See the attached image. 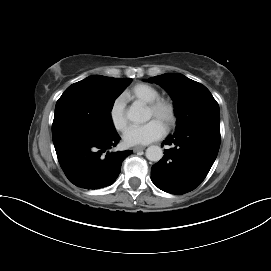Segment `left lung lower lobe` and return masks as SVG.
I'll return each mask as SVG.
<instances>
[{"label": "left lung lower lobe", "mask_w": 271, "mask_h": 271, "mask_svg": "<svg viewBox=\"0 0 271 271\" xmlns=\"http://www.w3.org/2000/svg\"><path fill=\"white\" fill-rule=\"evenodd\" d=\"M163 143L175 147L164 150L163 158L152 166L151 180L167 193L185 194L201 184L211 169L220 146V124L181 129Z\"/></svg>", "instance_id": "left-lung-lower-lobe-1"}]
</instances>
